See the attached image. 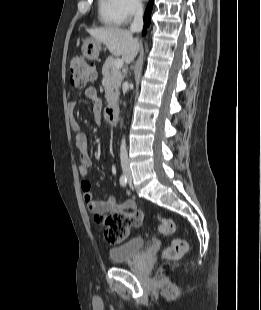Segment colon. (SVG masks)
Instances as JSON below:
<instances>
[{
  "label": "colon",
  "mask_w": 261,
  "mask_h": 310,
  "mask_svg": "<svg viewBox=\"0 0 261 310\" xmlns=\"http://www.w3.org/2000/svg\"><path fill=\"white\" fill-rule=\"evenodd\" d=\"M70 81L76 88H83L96 76L95 66L80 55L73 56L69 63ZM131 214L109 213L98 218L103 227V234L110 244L122 242L128 235L131 227H139L144 219L142 210L137 208ZM158 229L165 236H173L177 231L176 223L170 218H160ZM187 250V243L181 238H174L171 244L164 250L163 257L166 260H177L181 258Z\"/></svg>",
  "instance_id": "5ec220e1"
}]
</instances>
